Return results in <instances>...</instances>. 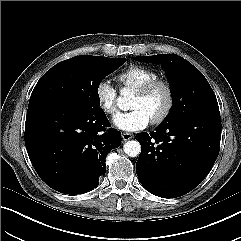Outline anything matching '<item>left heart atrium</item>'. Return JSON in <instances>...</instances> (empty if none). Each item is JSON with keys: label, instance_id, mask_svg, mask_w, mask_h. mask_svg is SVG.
<instances>
[{"label": "left heart atrium", "instance_id": "1", "mask_svg": "<svg viewBox=\"0 0 241 241\" xmlns=\"http://www.w3.org/2000/svg\"><path fill=\"white\" fill-rule=\"evenodd\" d=\"M150 122L149 116L141 109L119 113L114 117V124L121 130L138 131L146 128Z\"/></svg>", "mask_w": 241, "mask_h": 241}]
</instances>
